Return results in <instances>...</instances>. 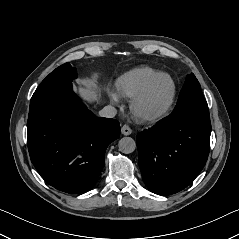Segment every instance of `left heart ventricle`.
<instances>
[{
    "label": "left heart ventricle",
    "instance_id": "b2bd125f",
    "mask_svg": "<svg viewBox=\"0 0 239 239\" xmlns=\"http://www.w3.org/2000/svg\"><path fill=\"white\" fill-rule=\"evenodd\" d=\"M170 91V81L166 78L159 79L140 103L138 110L141 112H147L158 109L165 103Z\"/></svg>",
    "mask_w": 239,
    "mask_h": 239
}]
</instances>
